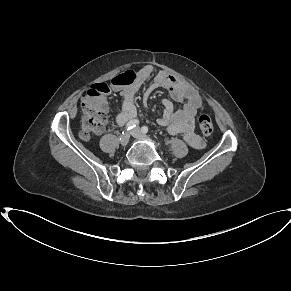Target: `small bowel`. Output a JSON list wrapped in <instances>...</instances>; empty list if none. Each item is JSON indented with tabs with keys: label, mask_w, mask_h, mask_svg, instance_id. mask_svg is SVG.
Instances as JSON below:
<instances>
[{
	"label": "small bowel",
	"mask_w": 291,
	"mask_h": 291,
	"mask_svg": "<svg viewBox=\"0 0 291 291\" xmlns=\"http://www.w3.org/2000/svg\"><path fill=\"white\" fill-rule=\"evenodd\" d=\"M154 72L151 65L144 66L138 74V78L132 84L124 86L121 90L123 97L122 109L115 117L118 126L133 120L136 116L135 95L142 82ZM165 88L171 98L183 104L180 109H175L169 99L162 101L163 113L157 119V123L166 126L171 134H183L184 140L193 148L201 149L204 145L201 137L195 132L194 118L199 110V95L187 82L176 78L164 71L159 72L147 89V94L158 89Z\"/></svg>",
	"instance_id": "1"
}]
</instances>
